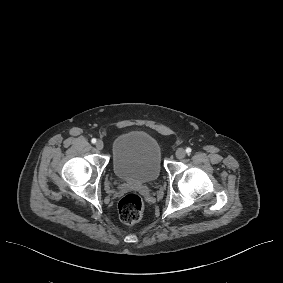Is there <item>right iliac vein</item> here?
<instances>
[{
    "mask_svg": "<svg viewBox=\"0 0 283 283\" xmlns=\"http://www.w3.org/2000/svg\"><path fill=\"white\" fill-rule=\"evenodd\" d=\"M96 148H97L98 150H102V149L104 148L103 142H102V141H98V142L96 143Z\"/></svg>",
    "mask_w": 283,
    "mask_h": 283,
    "instance_id": "obj_1",
    "label": "right iliac vein"
}]
</instances>
